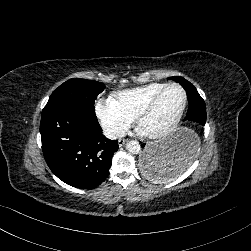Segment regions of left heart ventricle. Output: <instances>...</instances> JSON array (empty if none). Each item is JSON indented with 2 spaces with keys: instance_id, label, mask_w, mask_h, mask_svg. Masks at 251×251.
<instances>
[{
  "instance_id": "obj_1",
  "label": "left heart ventricle",
  "mask_w": 251,
  "mask_h": 251,
  "mask_svg": "<svg viewBox=\"0 0 251 251\" xmlns=\"http://www.w3.org/2000/svg\"><path fill=\"white\" fill-rule=\"evenodd\" d=\"M185 101L184 93L177 88L166 90L154 109L142 115L141 124L151 133L171 125L179 117Z\"/></svg>"
}]
</instances>
